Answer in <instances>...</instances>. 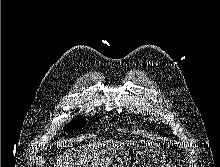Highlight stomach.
Wrapping results in <instances>:
<instances>
[{
    "label": "stomach",
    "instance_id": "obj_1",
    "mask_svg": "<svg viewBox=\"0 0 220 167\" xmlns=\"http://www.w3.org/2000/svg\"><path fill=\"white\" fill-rule=\"evenodd\" d=\"M109 167H168L164 152L153 142H128L121 145Z\"/></svg>",
    "mask_w": 220,
    "mask_h": 167
}]
</instances>
